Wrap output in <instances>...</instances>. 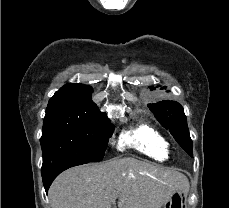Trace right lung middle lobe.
Returning <instances> with one entry per match:
<instances>
[{"mask_svg":"<svg viewBox=\"0 0 229 208\" xmlns=\"http://www.w3.org/2000/svg\"><path fill=\"white\" fill-rule=\"evenodd\" d=\"M113 130L110 121L68 107H47L40 139L42 170L65 159L101 161Z\"/></svg>","mask_w":229,"mask_h":208,"instance_id":"right-lung-middle-lobe-1","label":"right lung middle lobe"}]
</instances>
